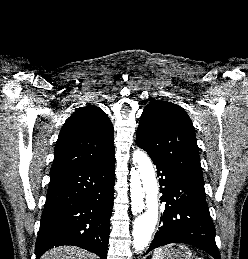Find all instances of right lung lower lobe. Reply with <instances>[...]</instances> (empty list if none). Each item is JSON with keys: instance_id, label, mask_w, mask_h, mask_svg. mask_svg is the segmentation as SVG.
<instances>
[{"instance_id": "1", "label": "right lung lower lobe", "mask_w": 248, "mask_h": 259, "mask_svg": "<svg viewBox=\"0 0 248 259\" xmlns=\"http://www.w3.org/2000/svg\"><path fill=\"white\" fill-rule=\"evenodd\" d=\"M114 183V154L98 163L50 173L36 259L60 245L81 247L107 259Z\"/></svg>"}]
</instances>
